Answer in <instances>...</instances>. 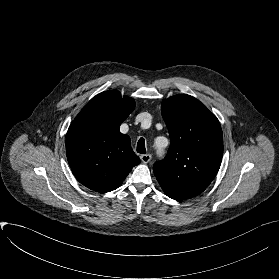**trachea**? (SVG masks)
Returning <instances> with one entry per match:
<instances>
[{
  "mask_svg": "<svg viewBox=\"0 0 279 279\" xmlns=\"http://www.w3.org/2000/svg\"><path fill=\"white\" fill-rule=\"evenodd\" d=\"M137 152L140 154H146L145 140L140 138L137 143Z\"/></svg>",
  "mask_w": 279,
  "mask_h": 279,
  "instance_id": "trachea-1",
  "label": "trachea"
}]
</instances>
